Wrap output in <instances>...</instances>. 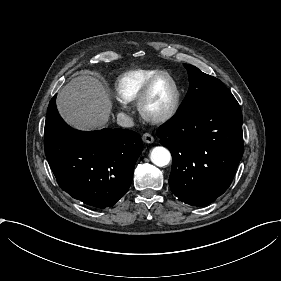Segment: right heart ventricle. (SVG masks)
<instances>
[{"label":"right heart ventricle","mask_w":281,"mask_h":281,"mask_svg":"<svg viewBox=\"0 0 281 281\" xmlns=\"http://www.w3.org/2000/svg\"><path fill=\"white\" fill-rule=\"evenodd\" d=\"M165 72L160 69H138L124 73L115 81V94L118 100L122 103L137 101L148 81Z\"/></svg>","instance_id":"e07e8e85"}]
</instances>
